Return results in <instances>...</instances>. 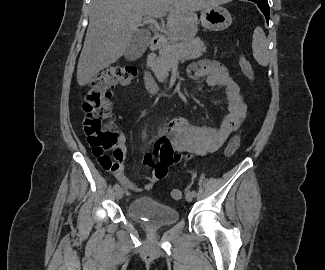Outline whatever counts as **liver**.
Masks as SVG:
<instances>
[{
    "label": "liver",
    "mask_w": 325,
    "mask_h": 270,
    "mask_svg": "<svg viewBox=\"0 0 325 270\" xmlns=\"http://www.w3.org/2000/svg\"><path fill=\"white\" fill-rule=\"evenodd\" d=\"M226 1V0H225ZM218 0H92L77 82L88 84L101 70L115 63L138 31L137 17L167 16V30L180 40L197 33L195 11L219 5Z\"/></svg>",
    "instance_id": "obj_1"
}]
</instances>
